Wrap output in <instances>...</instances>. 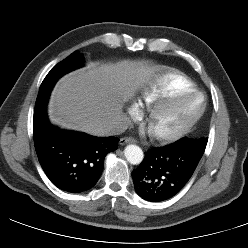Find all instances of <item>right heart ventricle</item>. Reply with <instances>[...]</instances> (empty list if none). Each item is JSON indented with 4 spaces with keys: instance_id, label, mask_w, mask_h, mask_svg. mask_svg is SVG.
Segmentation results:
<instances>
[{
    "instance_id": "e07e8e85",
    "label": "right heart ventricle",
    "mask_w": 248,
    "mask_h": 248,
    "mask_svg": "<svg viewBox=\"0 0 248 248\" xmlns=\"http://www.w3.org/2000/svg\"><path fill=\"white\" fill-rule=\"evenodd\" d=\"M195 89L193 82L177 70H169L160 79L142 93V100L151 105L159 100L180 91Z\"/></svg>"
}]
</instances>
